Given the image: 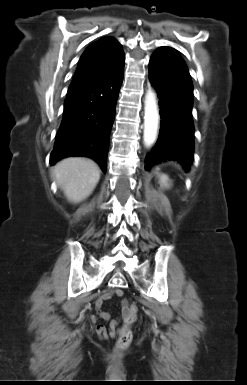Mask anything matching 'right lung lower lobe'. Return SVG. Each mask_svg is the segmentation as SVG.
<instances>
[{
	"mask_svg": "<svg viewBox=\"0 0 247 385\" xmlns=\"http://www.w3.org/2000/svg\"><path fill=\"white\" fill-rule=\"evenodd\" d=\"M123 71L124 64L112 73L69 87L63 119L50 155L51 164L69 156H86L106 171Z\"/></svg>",
	"mask_w": 247,
	"mask_h": 385,
	"instance_id": "98d812e1",
	"label": "right lung lower lobe"
}]
</instances>
